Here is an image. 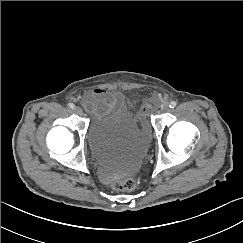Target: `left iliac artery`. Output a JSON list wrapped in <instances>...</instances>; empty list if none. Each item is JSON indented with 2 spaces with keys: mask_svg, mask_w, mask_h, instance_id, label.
<instances>
[{
  "mask_svg": "<svg viewBox=\"0 0 243 243\" xmlns=\"http://www.w3.org/2000/svg\"><path fill=\"white\" fill-rule=\"evenodd\" d=\"M176 105H177V103L175 101H171L169 104V107L174 108V107H176Z\"/></svg>",
  "mask_w": 243,
  "mask_h": 243,
  "instance_id": "obj_1",
  "label": "left iliac artery"
}]
</instances>
